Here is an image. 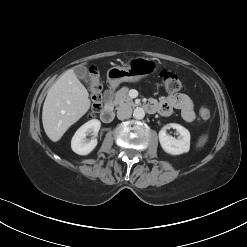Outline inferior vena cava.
Here are the masks:
<instances>
[{
    "label": "inferior vena cava",
    "instance_id": "obj_1",
    "mask_svg": "<svg viewBox=\"0 0 247 247\" xmlns=\"http://www.w3.org/2000/svg\"><path fill=\"white\" fill-rule=\"evenodd\" d=\"M132 115V108L128 105H122L118 108L117 117L119 120L130 118Z\"/></svg>",
    "mask_w": 247,
    "mask_h": 247
}]
</instances>
